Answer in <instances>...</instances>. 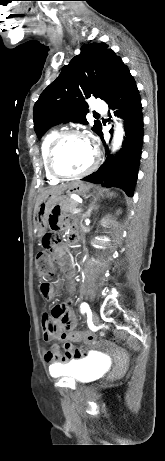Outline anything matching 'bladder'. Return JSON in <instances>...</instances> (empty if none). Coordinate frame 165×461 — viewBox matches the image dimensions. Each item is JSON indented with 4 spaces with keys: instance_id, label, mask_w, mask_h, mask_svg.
<instances>
[{
    "instance_id": "obj_1",
    "label": "bladder",
    "mask_w": 165,
    "mask_h": 461,
    "mask_svg": "<svg viewBox=\"0 0 165 461\" xmlns=\"http://www.w3.org/2000/svg\"><path fill=\"white\" fill-rule=\"evenodd\" d=\"M62 374L83 384L99 378L103 374V362L95 356H87L73 361L63 368Z\"/></svg>"
}]
</instances>
